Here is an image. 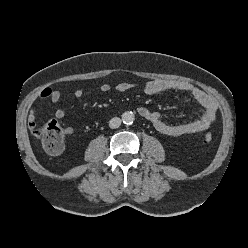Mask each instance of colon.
<instances>
[{
  "label": "colon",
  "mask_w": 248,
  "mask_h": 248,
  "mask_svg": "<svg viewBox=\"0 0 248 248\" xmlns=\"http://www.w3.org/2000/svg\"><path fill=\"white\" fill-rule=\"evenodd\" d=\"M36 137L39 138L44 150L51 155L60 154L64 149V132L55 120H51L38 128L36 130ZM211 140L212 134L206 133L204 141L210 142Z\"/></svg>",
  "instance_id": "colon-1"
}]
</instances>
